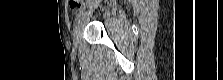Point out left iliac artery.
Masks as SVG:
<instances>
[{
  "label": "left iliac artery",
  "mask_w": 223,
  "mask_h": 80,
  "mask_svg": "<svg viewBox=\"0 0 223 80\" xmlns=\"http://www.w3.org/2000/svg\"><path fill=\"white\" fill-rule=\"evenodd\" d=\"M84 11H85V6L80 8L79 13L77 14L76 20H79L81 18V16L84 14Z\"/></svg>",
  "instance_id": "obj_1"
}]
</instances>
